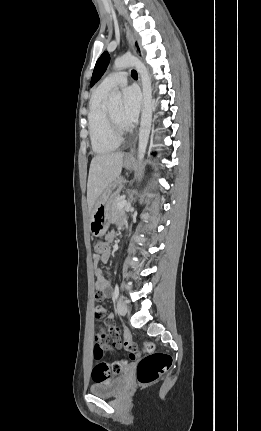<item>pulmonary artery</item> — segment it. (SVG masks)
I'll list each match as a JSON object with an SVG mask.
<instances>
[{
  "label": "pulmonary artery",
  "instance_id": "pulmonary-artery-1",
  "mask_svg": "<svg viewBox=\"0 0 261 431\" xmlns=\"http://www.w3.org/2000/svg\"><path fill=\"white\" fill-rule=\"evenodd\" d=\"M127 78L128 75L126 72H115L109 74L102 80L98 88L104 91H109L114 87L125 85L127 83Z\"/></svg>",
  "mask_w": 261,
  "mask_h": 431
}]
</instances>
